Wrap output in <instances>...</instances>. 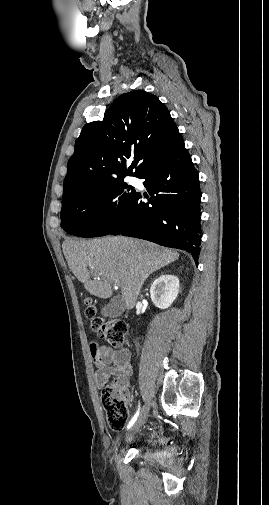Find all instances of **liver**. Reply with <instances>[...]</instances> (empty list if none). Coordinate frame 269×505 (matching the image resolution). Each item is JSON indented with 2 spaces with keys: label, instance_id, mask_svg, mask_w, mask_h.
I'll use <instances>...</instances> for the list:
<instances>
[{
  "label": "liver",
  "instance_id": "6515ba94",
  "mask_svg": "<svg viewBox=\"0 0 269 505\" xmlns=\"http://www.w3.org/2000/svg\"><path fill=\"white\" fill-rule=\"evenodd\" d=\"M62 248L70 270L91 295L107 299L112 296V284H116L129 310L134 308L148 276L179 258L171 249L123 236L67 239ZM91 275L98 278L92 280Z\"/></svg>",
  "mask_w": 269,
  "mask_h": 505
}]
</instances>
